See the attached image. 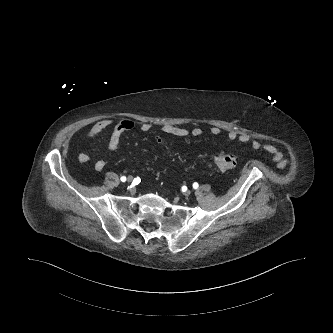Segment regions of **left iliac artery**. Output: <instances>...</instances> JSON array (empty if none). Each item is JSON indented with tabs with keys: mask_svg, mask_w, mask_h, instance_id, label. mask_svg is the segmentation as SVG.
Returning a JSON list of instances; mask_svg holds the SVG:
<instances>
[{
	"mask_svg": "<svg viewBox=\"0 0 333 333\" xmlns=\"http://www.w3.org/2000/svg\"><path fill=\"white\" fill-rule=\"evenodd\" d=\"M199 187V184L197 182L193 183V188L197 189Z\"/></svg>",
	"mask_w": 333,
	"mask_h": 333,
	"instance_id": "left-iliac-artery-1",
	"label": "left iliac artery"
}]
</instances>
